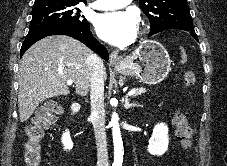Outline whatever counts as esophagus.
Masks as SVG:
<instances>
[{"mask_svg":"<svg viewBox=\"0 0 227 166\" xmlns=\"http://www.w3.org/2000/svg\"><path fill=\"white\" fill-rule=\"evenodd\" d=\"M109 61L111 64H120L121 63V57L119 56L117 51H113L110 54Z\"/></svg>","mask_w":227,"mask_h":166,"instance_id":"esophagus-1","label":"esophagus"}]
</instances>
